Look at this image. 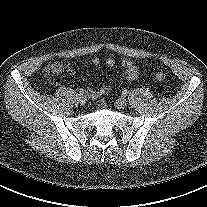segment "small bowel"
<instances>
[{
    "label": "small bowel",
    "mask_w": 207,
    "mask_h": 207,
    "mask_svg": "<svg viewBox=\"0 0 207 207\" xmlns=\"http://www.w3.org/2000/svg\"><path fill=\"white\" fill-rule=\"evenodd\" d=\"M92 63L94 65L99 64V59L98 58H93ZM106 65L109 67H112L115 64V60L113 58H107L105 61ZM124 71H123V76L125 79L132 81L135 80L138 77V68L136 64L131 60V59H125L121 63ZM52 66H57L59 69V72L62 69H65L66 72L70 75L75 74V69L71 63H66L64 65H61L60 63H53ZM58 72V73H59ZM111 87L109 85L101 86L98 88H88V94L91 98H97L107 92H109Z\"/></svg>",
    "instance_id": "1"
}]
</instances>
